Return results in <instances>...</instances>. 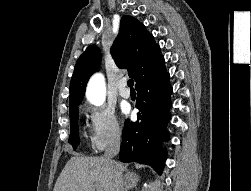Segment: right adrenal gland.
<instances>
[{
    "mask_svg": "<svg viewBox=\"0 0 251 191\" xmlns=\"http://www.w3.org/2000/svg\"><path fill=\"white\" fill-rule=\"evenodd\" d=\"M139 181V175L137 173H134V171H127L125 175V191H128V189H132V187H136L138 185Z\"/></svg>",
    "mask_w": 251,
    "mask_h": 191,
    "instance_id": "1",
    "label": "right adrenal gland"
}]
</instances>
